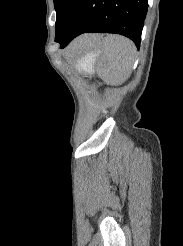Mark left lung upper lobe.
Listing matches in <instances>:
<instances>
[{"label":"left lung upper lobe","mask_w":183,"mask_h":246,"mask_svg":"<svg viewBox=\"0 0 183 246\" xmlns=\"http://www.w3.org/2000/svg\"><path fill=\"white\" fill-rule=\"evenodd\" d=\"M56 10V33L61 28L75 0H53Z\"/></svg>","instance_id":"1"}]
</instances>
